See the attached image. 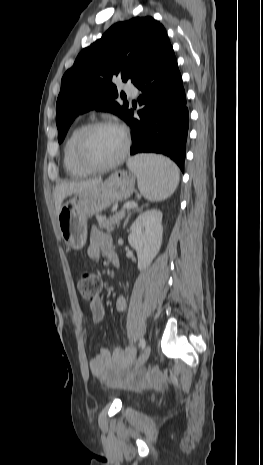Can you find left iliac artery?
Instances as JSON below:
<instances>
[{
	"label": "left iliac artery",
	"mask_w": 263,
	"mask_h": 465,
	"mask_svg": "<svg viewBox=\"0 0 263 465\" xmlns=\"http://www.w3.org/2000/svg\"><path fill=\"white\" fill-rule=\"evenodd\" d=\"M145 345H146V341L144 338H140L139 340V346L140 348L143 350L145 348Z\"/></svg>",
	"instance_id": "1"
}]
</instances>
